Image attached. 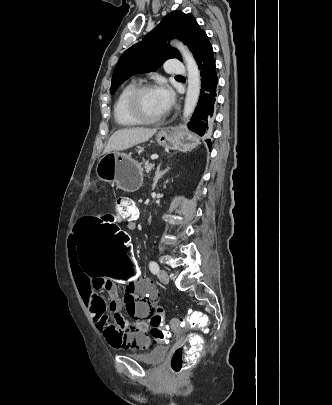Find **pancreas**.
I'll use <instances>...</instances> for the list:
<instances>
[{
	"instance_id": "1",
	"label": "pancreas",
	"mask_w": 332,
	"mask_h": 405,
	"mask_svg": "<svg viewBox=\"0 0 332 405\" xmlns=\"http://www.w3.org/2000/svg\"><path fill=\"white\" fill-rule=\"evenodd\" d=\"M151 167H153L152 163H146L144 166L145 172L148 173L151 170Z\"/></svg>"
}]
</instances>
